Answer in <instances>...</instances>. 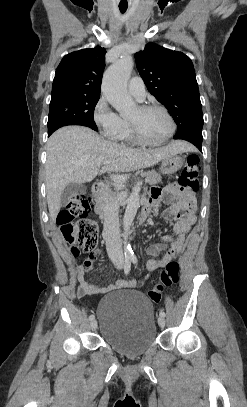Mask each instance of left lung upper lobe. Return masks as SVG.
Segmentation results:
<instances>
[{
    "instance_id": "1",
    "label": "left lung upper lobe",
    "mask_w": 247,
    "mask_h": 407,
    "mask_svg": "<svg viewBox=\"0 0 247 407\" xmlns=\"http://www.w3.org/2000/svg\"><path fill=\"white\" fill-rule=\"evenodd\" d=\"M148 91L170 112L177 133L203 127L198 84L191 59L181 52L149 43L135 54Z\"/></svg>"
}]
</instances>
